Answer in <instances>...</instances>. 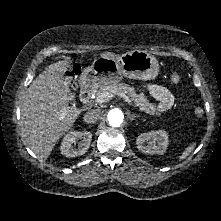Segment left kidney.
I'll return each mask as SVG.
<instances>
[{
    "label": "left kidney",
    "mask_w": 221,
    "mask_h": 221,
    "mask_svg": "<svg viewBox=\"0 0 221 221\" xmlns=\"http://www.w3.org/2000/svg\"><path fill=\"white\" fill-rule=\"evenodd\" d=\"M137 148L145 154H164L168 145V135L163 130L143 133L137 137Z\"/></svg>",
    "instance_id": "obj_1"
}]
</instances>
